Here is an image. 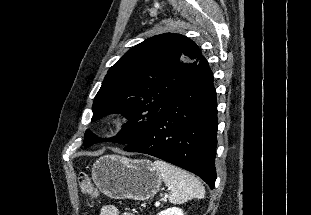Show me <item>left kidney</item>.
Masks as SVG:
<instances>
[{
  "label": "left kidney",
  "instance_id": "obj_1",
  "mask_svg": "<svg viewBox=\"0 0 311 215\" xmlns=\"http://www.w3.org/2000/svg\"><path fill=\"white\" fill-rule=\"evenodd\" d=\"M157 215H184L183 211L180 208L172 207L164 211H161Z\"/></svg>",
  "mask_w": 311,
  "mask_h": 215
}]
</instances>
